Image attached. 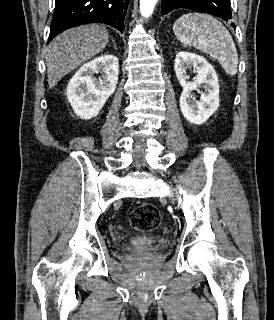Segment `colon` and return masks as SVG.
<instances>
[{"label":"colon","mask_w":274,"mask_h":320,"mask_svg":"<svg viewBox=\"0 0 274 320\" xmlns=\"http://www.w3.org/2000/svg\"><path fill=\"white\" fill-rule=\"evenodd\" d=\"M162 220L160 211L149 202L135 206L131 214V225L138 232H150L157 228Z\"/></svg>","instance_id":"obj_1"}]
</instances>
